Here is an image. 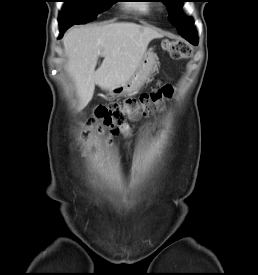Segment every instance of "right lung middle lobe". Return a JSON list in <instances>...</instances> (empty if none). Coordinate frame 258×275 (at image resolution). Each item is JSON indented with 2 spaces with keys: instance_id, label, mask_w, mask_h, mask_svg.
Listing matches in <instances>:
<instances>
[{
  "instance_id": "obj_1",
  "label": "right lung middle lobe",
  "mask_w": 258,
  "mask_h": 275,
  "mask_svg": "<svg viewBox=\"0 0 258 275\" xmlns=\"http://www.w3.org/2000/svg\"><path fill=\"white\" fill-rule=\"evenodd\" d=\"M114 0H65V6L59 15V24H85L108 10Z\"/></svg>"
}]
</instances>
